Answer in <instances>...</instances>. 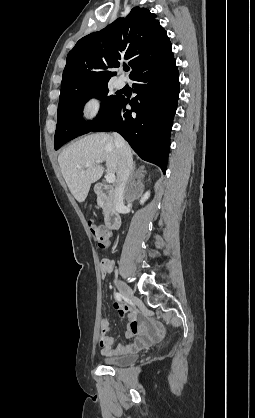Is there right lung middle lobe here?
<instances>
[{"label":"right lung middle lobe","mask_w":255,"mask_h":418,"mask_svg":"<svg viewBox=\"0 0 255 418\" xmlns=\"http://www.w3.org/2000/svg\"><path fill=\"white\" fill-rule=\"evenodd\" d=\"M106 83L95 84L60 94L55 132V150L77 136L89 133L112 112L120 95H109ZM102 101L99 114L93 121L83 119V107L91 98Z\"/></svg>","instance_id":"obj_1"}]
</instances>
